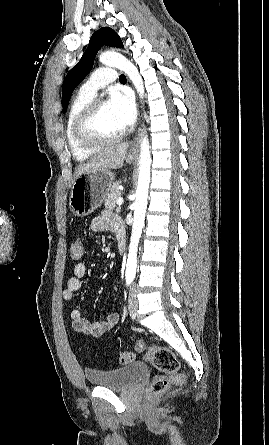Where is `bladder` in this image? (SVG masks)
Here are the masks:
<instances>
[{"instance_id": "bladder-1", "label": "bladder", "mask_w": 269, "mask_h": 445, "mask_svg": "<svg viewBox=\"0 0 269 445\" xmlns=\"http://www.w3.org/2000/svg\"><path fill=\"white\" fill-rule=\"evenodd\" d=\"M143 362H135L117 369L87 368L84 371L86 381L96 387L115 391L127 390L138 383L147 373Z\"/></svg>"}]
</instances>
